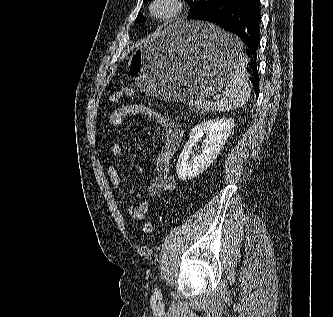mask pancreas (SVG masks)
Instances as JSON below:
<instances>
[{
    "label": "pancreas",
    "mask_w": 333,
    "mask_h": 317,
    "mask_svg": "<svg viewBox=\"0 0 333 317\" xmlns=\"http://www.w3.org/2000/svg\"><path fill=\"white\" fill-rule=\"evenodd\" d=\"M195 106V111H210L212 110V104L202 103L200 102L198 105ZM193 109V106H191Z\"/></svg>",
    "instance_id": "pancreas-1"
}]
</instances>
